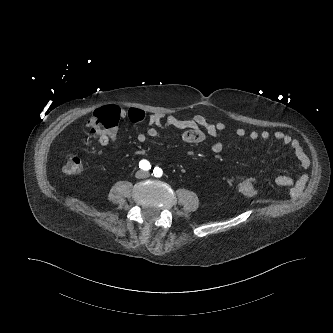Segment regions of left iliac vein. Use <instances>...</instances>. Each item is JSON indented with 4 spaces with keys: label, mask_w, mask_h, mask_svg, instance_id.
Masks as SVG:
<instances>
[{
    "label": "left iliac vein",
    "mask_w": 333,
    "mask_h": 333,
    "mask_svg": "<svg viewBox=\"0 0 333 333\" xmlns=\"http://www.w3.org/2000/svg\"><path fill=\"white\" fill-rule=\"evenodd\" d=\"M145 176L148 177V176H149V173H145Z\"/></svg>",
    "instance_id": "1"
}]
</instances>
